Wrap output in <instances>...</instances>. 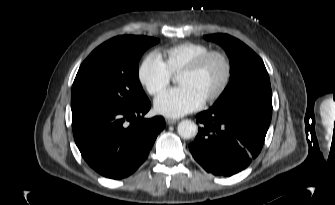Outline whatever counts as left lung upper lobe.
<instances>
[{"instance_id":"5c2ea615","label":"left lung upper lobe","mask_w":335,"mask_h":205,"mask_svg":"<svg viewBox=\"0 0 335 205\" xmlns=\"http://www.w3.org/2000/svg\"><path fill=\"white\" fill-rule=\"evenodd\" d=\"M204 38L221 45L230 61L229 84L212 107L252 103L272 109L270 79L262 59L230 35L212 34L205 35Z\"/></svg>"}]
</instances>
